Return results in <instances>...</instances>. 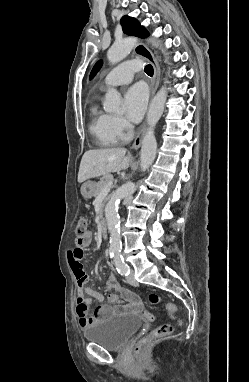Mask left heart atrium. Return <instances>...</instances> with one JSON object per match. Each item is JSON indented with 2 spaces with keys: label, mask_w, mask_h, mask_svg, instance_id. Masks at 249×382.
Here are the masks:
<instances>
[{
  "label": "left heart atrium",
  "mask_w": 249,
  "mask_h": 382,
  "mask_svg": "<svg viewBox=\"0 0 249 382\" xmlns=\"http://www.w3.org/2000/svg\"><path fill=\"white\" fill-rule=\"evenodd\" d=\"M148 102L146 89L141 85L132 86L124 96V108L127 118L138 122L144 115Z\"/></svg>",
  "instance_id": "1"
}]
</instances>
